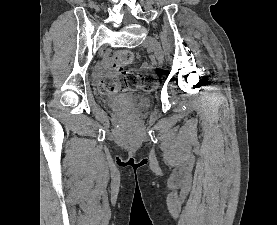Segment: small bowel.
Instances as JSON below:
<instances>
[{"label":"small bowel","instance_id":"1","mask_svg":"<svg viewBox=\"0 0 277 225\" xmlns=\"http://www.w3.org/2000/svg\"><path fill=\"white\" fill-rule=\"evenodd\" d=\"M98 74H99V76H100L99 83H100L105 77H107L106 75H103V71H99Z\"/></svg>","mask_w":277,"mask_h":225}]
</instances>
